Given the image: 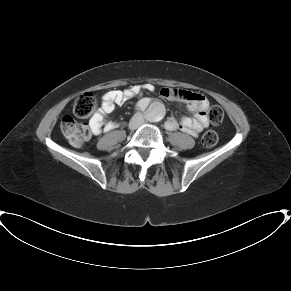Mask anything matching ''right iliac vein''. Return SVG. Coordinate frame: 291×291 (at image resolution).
I'll return each mask as SVG.
<instances>
[{
    "label": "right iliac vein",
    "mask_w": 291,
    "mask_h": 291,
    "mask_svg": "<svg viewBox=\"0 0 291 291\" xmlns=\"http://www.w3.org/2000/svg\"><path fill=\"white\" fill-rule=\"evenodd\" d=\"M138 126V122H137V119L136 118H133L130 122H129V129L130 130H135Z\"/></svg>",
    "instance_id": "right-iliac-vein-1"
}]
</instances>
